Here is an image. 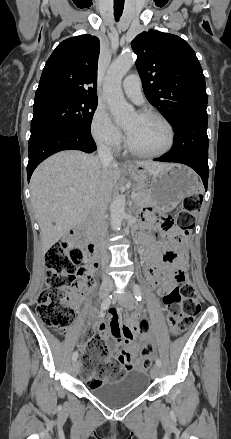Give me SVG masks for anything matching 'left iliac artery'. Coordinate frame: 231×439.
I'll return each instance as SVG.
<instances>
[{
	"mask_svg": "<svg viewBox=\"0 0 231 439\" xmlns=\"http://www.w3.org/2000/svg\"><path fill=\"white\" fill-rule=\"evenodd\" d=\"M133 290H134V295H135V298L137 299V301H141V299H142V293H141V289H140V287H139L137 284H134V286H133ZM156 364H157L159 367H161L162 362H161V360H160L159 358H156Z\"/></svg>",
	"mask_w": 231,
	"mask_h": 439,
	"instance_id": "1",
	"label": "left iliac artery"
}]
</instances>
